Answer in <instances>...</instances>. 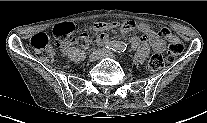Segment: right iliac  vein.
I'll use <instances>...</instances> for the list:
<instances>
[{"label":"right iliac vein","instance_id":"1","mask_svg":"<svg viewBox=\"0 0 207 123\" xmlns=\"http://www.w3.org/2000/svg\"><path fill=\"white\" fill-rule=\"evenodd\" d=\"M102 57V51L101 50H94L90 55H89V61L94 62L96 60H99Z\"/></svg>","mask_w":207,"mask_h":123}]
</instances>
